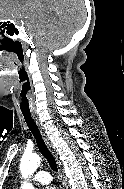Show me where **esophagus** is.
<instances>
[{"mask_svg":"<svg viewBox=\"0 0 124 189\" xmlns=\"http://www.w3.org/2000/svg\"><path fill=\"white\" fill-rule=\"evenodd\" d=\"M32 117H33L35 123L37 124V126H38V128H39V130H40V133H41V135H42V137H43V139H44V141H45V144L47 145V147L49 148V150L51 151V153L56 157L55 150H54V148H53V146H52V143H51V141H50V139H49V136L46 134V131H45V129H44V126H43L42 123L40 122V120H39L38 116L36 115V113L33 112V113H32ZM59 167H60V171H61V166H60V164H59ZM62 189H67V184H66V182H65L64 179H63V188H62Z\"/></svg>","mask_w":124,"mask_h":189,"instance_id":"obj_1","label":"esophagus"}]
</instances>
